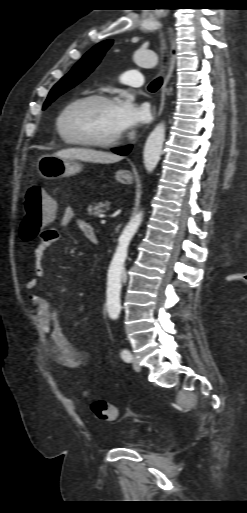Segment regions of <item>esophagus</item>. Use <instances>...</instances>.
<instances>
[{"mask_svg":"<svg viewBox=\"0 0 247 513\" xmlns=\"http://www.w3.org/2000/svg\"><path fill=\"white\" fill-rule=\"evenodd\" d=\"M168 33H169V42H170V63H169V68H168V71L164 78L163 84L160 88V103H159L158 111H157L156 104H154V106L152 108V112H153L154 116H160L164 109L165 100H166V97H165L166 86H167L170 78L172 77V74H173V71H174V68L176 65V60H177V44H176V36H175L174 30L171 27H168Z\"/></svg>","mask_w":247,"mask_h":513,"instance_id":"1","label":"esophagus"}]
</instances>
